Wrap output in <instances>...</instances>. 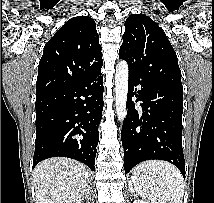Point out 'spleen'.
<instances>
[{"mask_svg": "<svg viewBox=\"0 0 214 203\" xmlns=\"http://www.w3.org/2000/svg\"><path fill=\"white\" fill-rule=\"evenodd\" d=\"M131 181L146 203H182L184 180L180 171L167 162L148 161L136 166Z\"/></svg>", "mask_w": 214, "mask_h": 203, "instance_id": "3e777b00", "label": "spleen"}]
</instances>
